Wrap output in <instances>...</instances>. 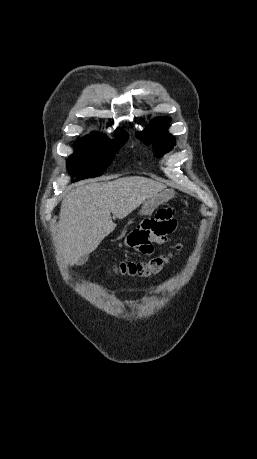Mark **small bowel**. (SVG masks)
Segmentation results:
<instances>
[{
    "mask_svg": "<svg viewBox=\"0 0 257 459\" xmlns=\"http://www.w3.org/2000/svg\"><path fill=\"white\" fill-rule=\"evenodd\" d=\"M180 215L169 205H164L162 211H155L154 217H145L144 223H136L135 230L122 241L123 248H137L138 255L152 256L154 249L152 241L159 242L164 236L173 234L178 227Z\"/></svg>",
    "mask_w": 257,
    "mask_h": 459,
    "instance_id": "1",
    "label": "small bowel"
}]
</instances>
